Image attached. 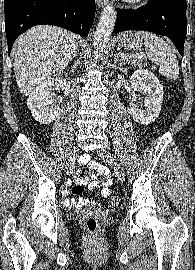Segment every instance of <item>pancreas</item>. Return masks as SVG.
Masks as SVG:
<instances>
[{
    "instance_id": "cf45deb5",
    "label": "pancreas",
    "mask_w": 195,
    "mask_h": 270,
    "mask_svg": "<svg viewBox=\"0 0 195 270\" xmlns=\"http://www.w3.org/2000/svg\"><path fill=\"white\" fill-rule=\"evenodd\" d=\"M122 60L126 63H131L134 66L142 67L141 58L134 57L133 55H126V57L122 58Z\"/></svg>"
}]
</instances>
